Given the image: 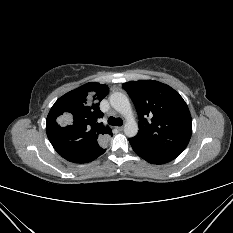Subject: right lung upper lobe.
I'll list each match as a JSON object with an SVG mask.
<instances>
[{
	"mask_svg": "<svg viewBox=\"0 0 233 233\" xmlns=\"http://www.w3.org/2000/svg\"><path fill=\"white\" fill-rule=\"evenodd\" d=\"M108 91L107 85L90 82L66 93L52 106L46 120L47 136L66 160L87 163L106 151L112 131L100 122L99 103Z\"/></svg>",
	"mask_w": 233,
	"mask_h": 233,
	"instance_id": "obj_1",
	"label": "right lung upper lobe"
}]
</instances>
